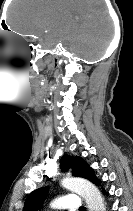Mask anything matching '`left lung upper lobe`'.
Wrapping results in <instances>:
<instances>
[{
  "instance_id": "5c2ea615",
  "label": "left lung upper lobe",
  "mask_w": 133,
  "mask_h": 211,
  "mask_svg": "<svg viewBox=\"0 0 133 211\" xmlns=\"http://www.w3.org/2000/svg\"><path fill=\"white\" fill-rule=\"evenodd\" d=\"M60 167L63 172L72 168V175L76 177H82L90 180L94 184H100L94 174V170L88 166V164L80 157H71L64 155L60 160ZM49 192L48 187H42L34 190L25 201L23 211H37L39 210Z\"/></svg>"
}]
</instances>
